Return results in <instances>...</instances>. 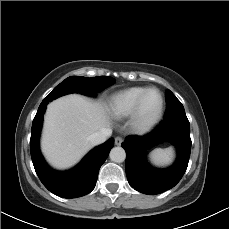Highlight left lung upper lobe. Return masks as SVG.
I'll list each match as a JSON object with an SVG mask.
<instances>
[{
    "label": "left lung upper lobe",
    "mask_w": 229,
    "mask_h": 229,
    "mask_svg": "<svg viewBox=\"0 0 229 229\" xmlns=\"http://www.w3.org/2000/svg\"><path fill=\"white\" fill-rule=\"evenodd\" d=\"M166 103L167 106L164 119L186 115L183 105L170 90H166Z\"/></svg>",
    "instance_id": "left-lung-upper-lobe-1"
}]
</instances>
